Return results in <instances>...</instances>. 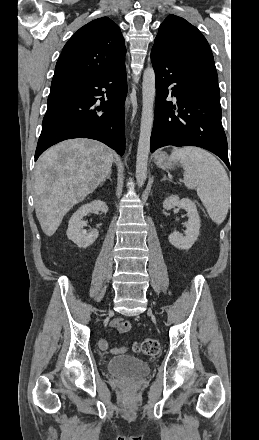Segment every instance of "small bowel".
<instances>
[{
  "label": "small bowel",
  "mask_w": 259,
  "mask_h": 440,
  "mask_svg": "<svg viewBox=\"0 0 259 440\" xmlns=\"http://www.w3.org/2000/svg\"><path fill=\"white\" fill-rule=\"evenodd\" d=\"M111 324L119 332H127L131 328V323L129 321H125L121 318L114 319ZM99 346L102 350L108 349V343L105 340H101L99 343ZM124 351H125L124 347L112 349L113 353H122Z\"/></svg>",
  "instance_id": "c3829d8e"
}]
</instances>
